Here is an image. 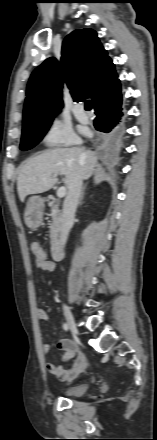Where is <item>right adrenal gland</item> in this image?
<instances>
[{
    "label": "right adrenal gland",
    "instance_id": "obj_1",
    "mask_svg": "<svg viewBox=\"0 0 157 440\" xmlns=\"http://www.w3.org/2000/svg\"><path fill=\"white\" fill-rule=\"evenodd\" d=\"M85 188H86V185H84V186L82 187V191H81V195H80V199H79V205L82 204V200H83V198H84V193H85Z\"/></svg>",
    "mask_w": 157,
    "mask_h": 440
}]
</instances>
